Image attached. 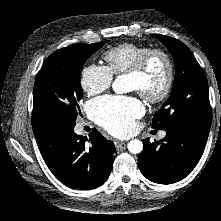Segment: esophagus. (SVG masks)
<instances>
[{
  "label": "esophagus",
  "mask_w": 221,
  "mask_h": 221,
  "mask_svg": "<svg viewBox=\"0 0 221 221\" xmlns=\"http://www.w3.org/2000/svg\"><path fill=\"white\" fill-rule=\"evenodd\" d=\"M114 144H115L116 149H119L122 145L125 144V142L116 140V141H114Z\"/></svg>",
  "instance_id": "34e87169"
}]
</instances>
